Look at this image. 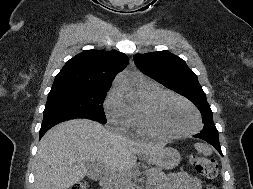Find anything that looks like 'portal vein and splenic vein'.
Wrapping results in <instances>:
<instances>
[{
  "label": "portal vein and splenic vein",
  "instance_id": "1",
  "mask_svg": "<svg viewBox=\"0 0 253 189\" xmlns=\"http://www.w3.org/2000/svg\"><path fill=\"white\" fill-rule=\"evenodd\" d=\"M98 172H100L101 171V168H100V166H98V168L96 169Z\"/></svg>",
  "mask_w": 253,
  "mask_h": 189
}]
</instances>
